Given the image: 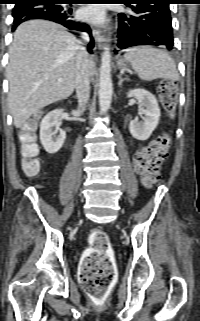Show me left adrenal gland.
Returning a JSON list of instances; mask_svg holds the SVG:
<instances>
[{
  "label": "left adrenal gland",
  "mask_w": 200,
  "mask_h": 321,
  "mask_svg": "<svg viewBox=\"0 0 200 321\" xmlns=\"http://www.w3.org/2000/svg\"><path fill=\"white\" fill-rule=\"evenodd\" d=\"M118 79H119V82H118L119 87L122 85L124 81H129L128 78H122L121 75H118Z\"/></svg>",
  "instance_id": "left-adrenal-gland-1"
}]
</instances>
